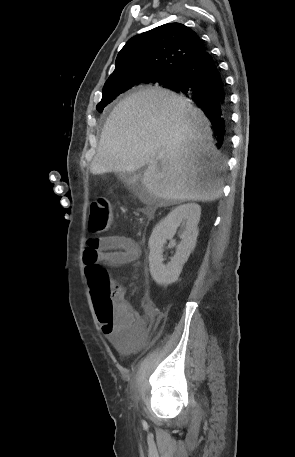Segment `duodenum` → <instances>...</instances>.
<instances>
[{"label":"duodenum","mask_w":295,"mask_h":457,"mask_svg":"<svg viewBox=\"0 0 295 457\" xmlns=\"http://www.w3.org/2000/svg\"><path fill=\"white\" fill-rule=\"evenodd\" d=\"M144 214L147 216V217H150L152 215V209L151 207H147L145 210H144Z\"/></svg>","instance_id":"duodenum-1"}]
</instances>
